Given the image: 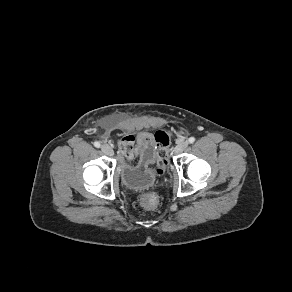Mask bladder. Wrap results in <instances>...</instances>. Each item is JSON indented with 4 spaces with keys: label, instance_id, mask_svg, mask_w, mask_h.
<instances>
[{
    "label": "bladder",
    "instance_id": "bladder-1",
    "mask_svg": "<svg viewBox=\"0 0 292 292\" xmlns=\"http://www.w3.org/2000/svg\"><path fill=\"white\" fill-rule=\"evenodd\" d=\"M121 178L127 188L139 190L152 186L156 180V173L150 167L142 170L126 168L122 171Z\"/></svg>",
    "mask_w": 292,
    "mask_h": 292
}]
</instances>
